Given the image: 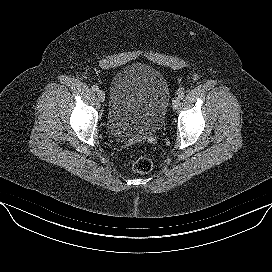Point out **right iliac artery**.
<instances>
[{"label": "right iliac artery", "instance_id": "obj_1", "mask_svg": "<svg viewBox=\"0 0 272 272\" xmlns=\"http://www.w3.org/2000/svg\"><path fill=\"white\" fill-rule=\"evenodd\" d=\"M92 90H93V91H98V90H99V88H98V86H97V85H93V86H92Z\"/></svg>", "mask_w": 272, "mask_h": 272}]
</instances>
